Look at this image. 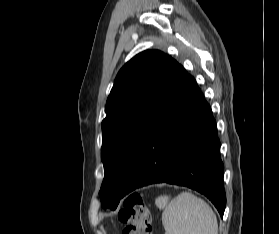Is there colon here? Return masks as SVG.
I'll return each instance as SVG.
<instances>
[{"label": "colon", "mask_w": 279, "mask_h": 234, "mask_svg": "<svg viewBox=\"0 0 279 234\" xmlns=\"http://www.w3.org/2000/svg\"><path fill=\"white\" fill-rule=\"evenodd\" d=\"M119 220L124 225L122 234H152L149 210L138 194L124 200Z\"/></svg>", "instance_id": "colon-1"}]
</instances>
